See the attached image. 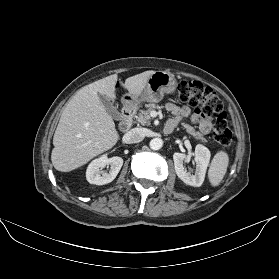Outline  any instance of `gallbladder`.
<instances>
[{
  "label": "gallbladder",
  "instance_id": "obj_1",
  "mask_svg": "<svg viewBox=\"0 0 279 279\" xmlns=\"http://www.w3.org/2000/svg\"><path fill=\"white\" fill-rule=\"evenodd\" d=\"M98 96L101 104L106 108L109 115L115 120H121L122 115L117 108L112 105L111 101L105 95L98 94Z\"/></svg>",
  "mask_w": 279,
  "mask_h": 279
}]
</instances>
